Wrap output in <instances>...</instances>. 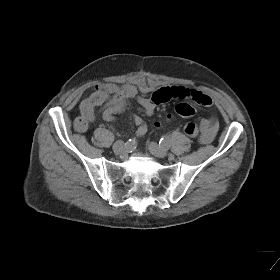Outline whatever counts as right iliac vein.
I'll use <instances>...</instances> for the list:
<instances>
[{
	"mask_svg": "<svg viewBox=\"0 0 280 280\" xmlns=\"http://www.w3.org/2000/svg\"><path fill=\"white\" fill-rule=\"evenodd\" d=\"M124 142L119 140V141H116L113 145V151L116 153V154H120L123 150H124Z\"/></svg>",
	"mask_w": 280,
	"mask_h": 280,
	"instance_id": "1",
	"label": "right iliac vein"
}]
</instances>
